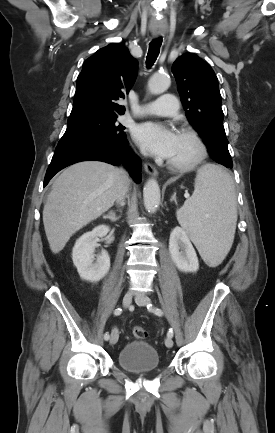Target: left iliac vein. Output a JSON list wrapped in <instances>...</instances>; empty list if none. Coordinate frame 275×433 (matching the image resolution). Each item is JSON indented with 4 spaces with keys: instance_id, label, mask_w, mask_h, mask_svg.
Instances as JSON below:
<instances>
[{
    "instance_id": "obj_1",
    "label": "left iliac vein",
    "mask_w": 275,
    "mask_h": 433,
    "mask_svg": "<svg viewBox=\"0 0 275 433\" xmlns=\"http://www.w3.org/2000/svg\"><path fill=\"white\" fill-rule=\"evenodd\" d=\"M135 302L140 306H147L150 303V298L146 295L138 294L135 297ZM165 345L167 348L173 347V340L171 337L165 339Z\"/></svg>"
}]
</instances>
